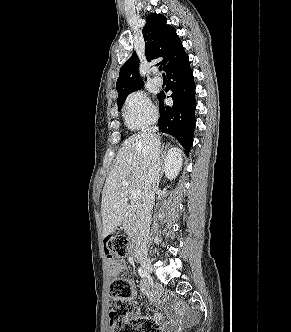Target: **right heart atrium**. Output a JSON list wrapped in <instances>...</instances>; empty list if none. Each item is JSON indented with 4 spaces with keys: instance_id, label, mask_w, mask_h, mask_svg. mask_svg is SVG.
<instances>
[{
    "instance_id": "right-heart-atrium-1",
    "label": "right heart atrium",
    "mask_w": 291,
    "mask_h": 332,
    "mask_svg": "<svg viewBox=\"0 0 291 332\" xmlns=\"http://www.w3.org/2000/svg\"><path fill=\"white\" fill-rule=\"evenodd\" d=\"M124 119L131 129H144L157 119V111L143 91L131 93L124 105Z\"/></svg>"
}]
</instances>
